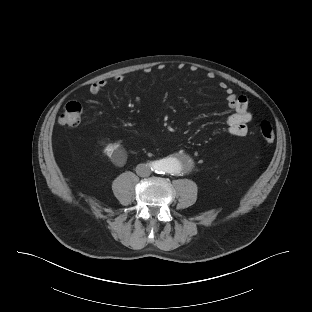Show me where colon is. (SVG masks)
I'll return each mask as SVG.
<instances>
[{"label": "colon", "mask_w": 312, "mask_h": 312, "mask_svg": "<svg viewBox=\"0 0 312 312\" xmlns=\"http://www.w3.org/2000/svg\"><path fill=\"white\" fill-rule=\"evenodd\" d=\"M82 106L79 102L71 101L66 104L64 111L59 116V123L66 127H77L81 120ZM261 137L267 143L274 141V131L268 121H262L259 125Z\"/></svg>", "instance_id": "obj_1"}]
</instances>
